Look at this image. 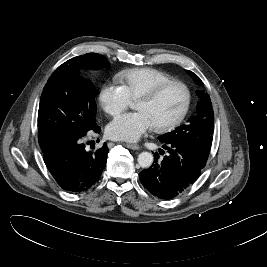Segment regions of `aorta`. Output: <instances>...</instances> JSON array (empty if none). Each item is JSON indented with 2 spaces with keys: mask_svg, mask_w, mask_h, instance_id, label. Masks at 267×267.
<instances>
[{
  "mask_svg": "<svg viewBox=\"0 0 267 267\" xmlns=\"http://www.w3.org/2000/svg\"><path fill=\"white\" fill-rule=\"evenodd\" d=\"M137 161L142 168H148L153 163V155L150 152H141Z\"/></svg>",
  "mask_w": 267,
  "mask_h": 267,
  "instance_id": "aorta-1",
  "label": "aorta"
}]
</instances>
